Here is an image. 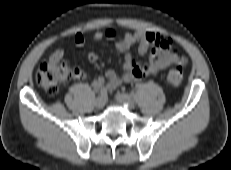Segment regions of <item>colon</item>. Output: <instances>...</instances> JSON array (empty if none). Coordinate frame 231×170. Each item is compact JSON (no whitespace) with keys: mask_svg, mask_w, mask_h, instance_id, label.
Segmentation results:
<instances>
[{"mask_svg":"<svg viewBox=\"0 0 231 170\" xmlns=\"http://www.w3.org/2000/svg\"><path fill=\"white\" fill-rule=\"evenodd\" d=\"M81 69H71L63 62H44L36 72L37 83L49 94L55 95L60 88L71 79L82 78ZM183 72L178 65L173 66L167 74V82L172 88H178L182 84Z\"/></svg>","mask_w":231,"mask_h":170,"instance_id":"colon-1","label":"colon"}]
</instances>
